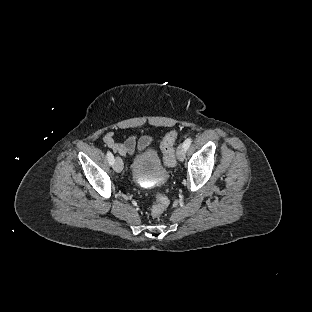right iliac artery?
Segmentation results:
<instances>
[{
  "label": "right iliac artery",
  "mask_w": 312,
  "mask_h": 312,
  "mask_svg": "<svg viewBox=\"0 0 312 312\" xmlns=\"http://www.w3.org/2000/svg\"><path fill=\"white\" fill-rule=\"evenodd\" d=\"M107 158L110 165L114 164V156L110 151H107Z\"/></svg>",
  "instance_id": "obj_1"
}]
</instances>
